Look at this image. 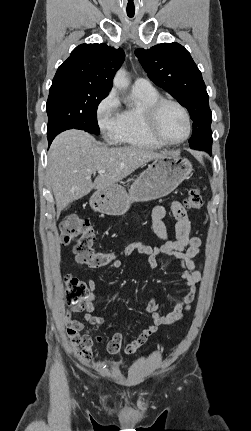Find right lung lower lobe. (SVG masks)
Returning a JSON list of instances; mask_svg holds the SVG:
<instances>
[{"label": "right lung lower lobe", "instance_id": "1", "mask_svg": "<svg viewBox=\"0 0 251 431\" xmlns=\"http://www.w3.org/2000/svg\"><path fill=\"white\" fill-rule=\"evenodd\" d=\"M54 138H55V136H48L49 145L52 143Z\"/></svg>", "mask_w": 251, "mask_h": 431}]
</instances>
